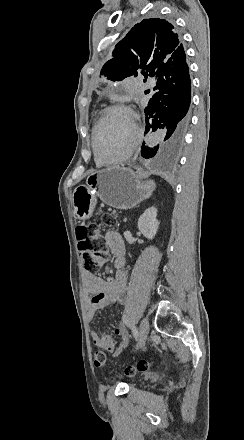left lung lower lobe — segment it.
Listing matches in <instances>:
<instances>
[{
  "label": "left lung lower lobe",
  "instance_id": "left-lung-lower-lobe-1",
  "mask_svg": "<svg viewBox=\"0 0 244 440\" xmlns=\"http://www.w3.org/2000/svg\"><path fill=\"white\" fill-rule=\"evenodd\" d=\"M157 92L145 108V133L165 129L166 135L161 146L144 149L142 155L151 158L159 154L170 155L177 152L184 143L190 124L188 109L191 100L189 69L184 57L180 62L162 66L156 73Z\"/></svg>",
  "mask_w": 244,
  "mask_h": 440
}]
</instances>
